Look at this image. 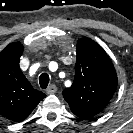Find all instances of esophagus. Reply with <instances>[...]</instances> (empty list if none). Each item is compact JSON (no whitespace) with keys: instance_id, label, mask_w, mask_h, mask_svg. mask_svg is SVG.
Returning a JSON list of instances; mask_svg holds the SVG:
<instances>
[{"instance_id":"34e87169","label":"esophagus","mask_w":133,"mask_h":133,"mask_svg":"<svg viewBox=\"0 0 133 133\" xmlns=\"http://www.w3.org/2000/svg\"><path fill=\"white\" fill-rule=\"evenodd\" d=\"M57 91L56 85L52 84L46 89L47 94H54Z\"/></svg>"}]
</instances>
